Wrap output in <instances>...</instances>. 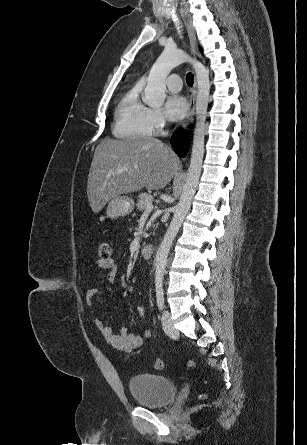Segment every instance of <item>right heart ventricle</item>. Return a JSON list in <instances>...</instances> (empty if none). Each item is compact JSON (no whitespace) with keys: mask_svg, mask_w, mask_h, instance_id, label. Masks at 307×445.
I'll list each match as a JSON object with an SVG mask.
<instances>
[{"mask_svg":"<svg viewBox=\"0 0 307 445\" xmlns=\"http://www.w3.org/2000/svg\"><path fill=\"white\" fill-rule=\"evenodd\" d=\"M148 111L149 108L141 87L134 84L127 88L115 111L113 135L118 138L133 137L135 140H147L134 136L149 133L147 125Z\"/></svg>","mask_w":307,"mask_h":445,"instance_id":"right-heart-ventricle-1","label":"right heart ventricle"}]
</instances>
